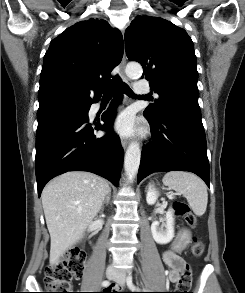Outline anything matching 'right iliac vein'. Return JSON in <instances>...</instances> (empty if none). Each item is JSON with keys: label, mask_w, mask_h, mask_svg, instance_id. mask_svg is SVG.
<instances>
[{"label": "right iliac vein", "mask_w": 245, "mask_h": 293, "mask_svg": "<svg viewBox=\"0 0 245 293\" xmlns=\"http://www.w3.org/2000/svg\"><path fill=\"white\" fill-rule=\"evenodd\" d=\"M117 275V272H115L113 269H107L106 270V276L108 279H113Z\"/></svg>", "instance_id": "right-iliac-vein-1"}]
</instances>
